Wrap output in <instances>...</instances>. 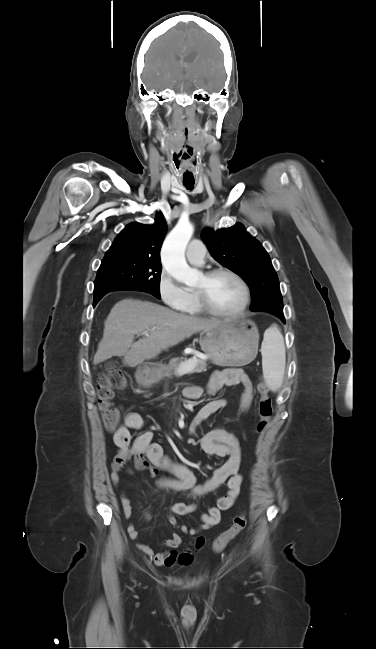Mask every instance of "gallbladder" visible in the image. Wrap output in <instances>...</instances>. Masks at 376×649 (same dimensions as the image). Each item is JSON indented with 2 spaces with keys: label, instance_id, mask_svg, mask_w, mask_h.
I'll return each mask as SVG.
<instances>
[{
  "label": "gallbladder",
  "instance_id": "obj_1",
  "mask_svg": "<svg viewBox=\"0 0 376 649\" xmlns=\"http://www.w3.org/2000/svg\"><path fill=\"white\" fill-rule=\"evenodd\" d=\"M111 368H112V366H111V364H109L108 369H111Z\"/></svg>",
  "mask_w": 376,
  "mask_h": 649
}]
</instances>
